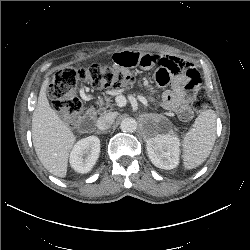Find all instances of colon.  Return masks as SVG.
I'll use <instances>...</instances> for the list:
<instances>
[{"instance_id":"5ec220e1","label":"colon","mask_w":250,"mask_h":250,"mask_svg":"<svg viewBox=\"0 0 250 250\" xmlns=\"http://www.w3.org/2000/svg\"><path fill=\"white\" fill-rule=\"evenodd\" d=\"M78 81L90 84L93 88H131L135 85V78L116 69L91 65L79 69L62 68L56 72L48 89V94L55 109L64 120L72 125L82 112L83 104L76 94ZM192 106L201 112L211 106V98L205 88H199L194 95Z\"/></svg>"}]
</instances>
